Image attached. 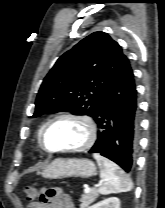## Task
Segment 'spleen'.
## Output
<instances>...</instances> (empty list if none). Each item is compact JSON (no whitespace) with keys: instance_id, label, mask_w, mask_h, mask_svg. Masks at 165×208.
<instances>
[{"instance_id":"3e777b00","label":"spleen","mask_w":165,"mask_h":208,"mask_svg":"<svg viewBox=\"0 0 165 208\" xmlns=\"http://www.w3.org/2000/svg\"><path fill=\"white\" fill-rule=\"evenodd\" d=\"M93 157L101 168L100 177L103 184L98 189L99 193L107 195L127 192L132 189V182L117 164L97 153Z\"/></svg>"}]
</instances>
